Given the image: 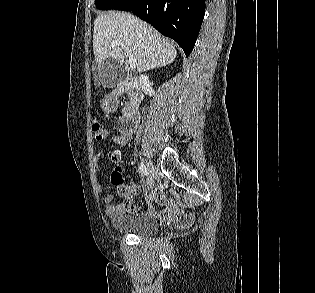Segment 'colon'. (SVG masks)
<instances>
[{"mask_svg": "<svg viewBox=\"0 0 315 293\" xmlns=\"http://www.w3.org/2000/svg\"><path fill=\"white\" fill-rule=\"evenodd\" d=\"M92 130H93V135L94 138L98 141H101L103 139H105L106 137V131L105 129L100 125V123L98 121H94L93 126H92ZM114 158L117 159L118 158V154L114 155ZM112 182L113 184L117 187V191L118 193L122 195L123 190H132V189H128L126 187V185H124L122 183V175L121 172L119 170L113 172L112 174ZM134 191V190H133ZM135 192V191H134Z\"/></svg>", "mask_w": 315, "mask_h": 293, "instance_id": "colon-1", "label": "colon"}]
</instances>
